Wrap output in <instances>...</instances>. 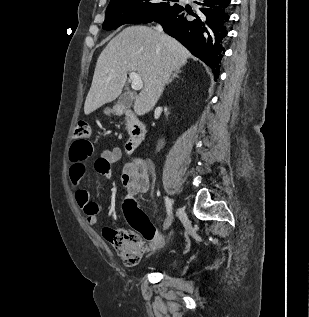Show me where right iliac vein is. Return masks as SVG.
Listing matches in <instances>:
<instances>
[{"mask_svg": "<svg viewBox=\"0 0 309 317\" xmlns=\"http://www.w3.org/2000/svg\"><path fill=\"white\" fill-rule=\"evenodd\" d=\"M172 222H173V213L171 212L164 222L163 229L167 230L171 226Z\"/></svg>", "mask_w": 309, "mask_h": 317, "instance_id": "obj_1", "label": "right iliac vein"}]
</instances>
